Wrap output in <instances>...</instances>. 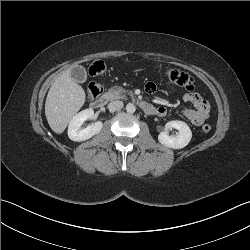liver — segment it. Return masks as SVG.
<instances>
[{"instance_id":"liver-1","label":"liver","mask_w":250,"mask_h":250,"mask_svg":"<svg viewBox=\"0 0 250 250\" xmlns=\"http://www.w3.org/2000/svg\"><path fill=\"white\" fill-rule=\"evenodd\" d=\"M84 89L71 78V69L63 71L52 83L45 102V115L50 128L57 134L84 105Z\"/></svg>"}]
</instances>
